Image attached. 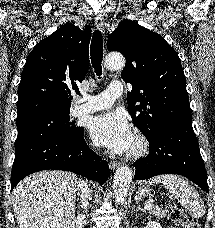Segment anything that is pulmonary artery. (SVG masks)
Segmentation results:
<instances>
[{"mask_svg":"<svg viewBox=\"0 0 215 228\" xmlns=\"http://www.w3.org/2000/svg\"><path fill=\"white\" fill-rule=\"evenodd\" d=\"M106 91L88 97H78L77 105L72 109L73 116H80L109 108L122 95V84H106ZM84 102V103H83Z\"/></svg>","mask_w":215,"mask_h":228,"instance_id":"obj_1","label":"pulmonary artery"}]
</instances>
